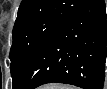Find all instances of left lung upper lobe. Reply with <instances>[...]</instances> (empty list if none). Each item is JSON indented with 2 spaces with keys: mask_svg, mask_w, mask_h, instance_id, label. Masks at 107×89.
<instances>
[{
  "mask_svg": "<svg viewBox=\"0 0 107 89\" xmlns=\"http://www.w3.org/2000/svg\"><path fill=\"white\" fill-rule=\"evenodd\" d=\"M88 0H22L12 32L13 85L43 43Z\"/></svg>",
  "mask_w": 107,
  "mask_h": 89,
  "instance_id": "1",
  "label": "left lung upper lobe"
}]
</instances>
